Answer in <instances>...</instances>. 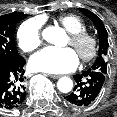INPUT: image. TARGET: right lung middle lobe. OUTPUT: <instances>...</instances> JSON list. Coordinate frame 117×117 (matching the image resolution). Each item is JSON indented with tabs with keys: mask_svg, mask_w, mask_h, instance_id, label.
Masks as SVG:
<instances>
[{
	"mask_svg": "<svg viewBox=\"0 0 117 117\" xmlns=\"http://www.w3.org/2000/svg\"><path fill=\"white\" fill-rule=\"evenodd\" d=\"M26 17L21 12L0 16V59L14 60L20 58L14 42L16 24Z\"/></svg>",
	"mask_w": 117,
	"mask_h": 117,
	"instance_id": "dd1d6c3e",
	"label": "right lung middle lobe"
}]
</instances>
